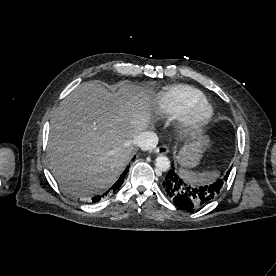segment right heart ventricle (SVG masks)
<instances>
[{
	"instance_id": "obj_1",
	"label": "right heart ventricle",
	"mask_w": 276,
	"mask_h": 276,
	"mask_svg": "<svg viewBox=\"0 0 276 276\" xmlns=\"http://www.w3.org/2000/svg\"><path fill=\"white\" fill-rule=\"evenodd\" d=\"M205 101V95L198 89L187 85H178L168 88L160 95L158 108L164 115L178 120L191 107Z\"/></svg>"
}]
</instances>
